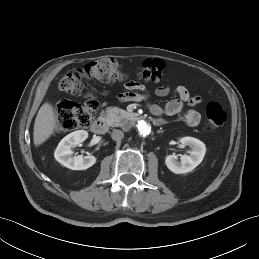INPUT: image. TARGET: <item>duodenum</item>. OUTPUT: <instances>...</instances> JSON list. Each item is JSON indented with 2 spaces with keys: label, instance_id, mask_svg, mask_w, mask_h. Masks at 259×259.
<instances>
[{
  "label": "duodenum",
  "instance_id": "1",
  "mask_svg": "<svg viewBox=\"0 0 259 259\" xmlns=\"http://www.w3.org/2000/svg\"><path fill=\"white\" fill-rule=\"evenodd\" d=\"M128 117L134 123H137L140 121V118L135 113H130ZM154 123L159 125L161 122L159 120H156ZM107 130H108V123L106 119L103 117L97 118L92 124V131L96 134L103 135L107 132Z\"/></svg>",
  "mask_w": 259,
  "mask_h": 259
}]
</instances>
